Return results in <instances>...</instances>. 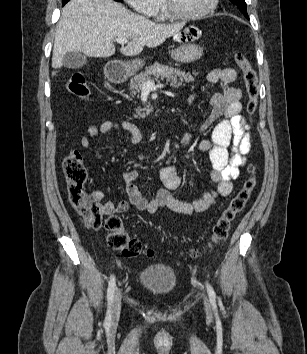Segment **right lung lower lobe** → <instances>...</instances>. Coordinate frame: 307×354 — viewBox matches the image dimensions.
<instances>
[{"label": "right lung lower lobe", "mask_w": 307, "mask_h": 354, "mask_svg": "<svg viewBox=\"0 0 307 354\" xmlns=\"http://www.w3.org/2000/svg\"><path fill=\"white\" fill-rule=\"evenodd\" d=\"M69 0H63L62 5L64 6Z\"/></svg>", "instance_id": "right-lung-lower-lobe-1"}]
</instances>
